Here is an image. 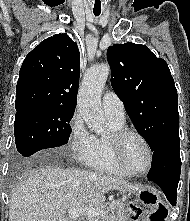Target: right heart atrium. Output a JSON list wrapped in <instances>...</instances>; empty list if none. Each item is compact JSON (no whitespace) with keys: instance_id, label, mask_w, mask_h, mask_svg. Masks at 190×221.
Here are the masks:
<instances>
[{"instance_id":"1","label":"right heart atrium","mask_w":190,"mask_h":221,"mask_svg":"<svg viewBox=\"0 0 190 221\" xmlns=\"http://www.w3.org/2000/svg\"><path fill=\"white\" fill-rule=\"evenodd\" d=\"M68 145L78 163H86L93 152L94 135L78 113H74L69 122Z\"/></svg>"}]
</instances>
